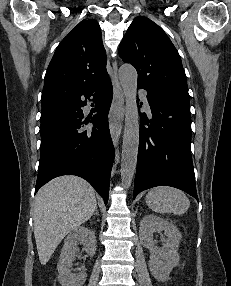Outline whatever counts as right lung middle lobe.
<instances>
[{
  "mask_svg": "<svg viewBox=\"0 0 231 286\" xmlns=\"http://www.w3.org/2000/svg\"><path fill=\"white\" fill-rule=\"evenodd\" d=\"M66 112L67 110L63 106L42 109L41 122L47 121Z\"/></svg>",
  "mask_w": 231,
  "mask_h": 286,
  "instance_id": "right-lung-middle-lobe-1",
  "label": "right lung middle lobe"
}]
</instances>
